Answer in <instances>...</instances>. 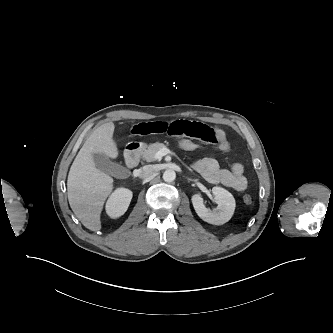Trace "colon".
Masks as SVG:
<instances>
[{
    "label": "colon",
    "mask_w": 333,
    "mask_h": 333,
    "mask_svg": "<svg viewBox=\"0 0 333 333\" xmlns=\"http://www.w3.org/2000/svg\"><path fill=\"white\" fill-rule=\"evenodd\" d=\"M175 146L185 152L198 151L204 148V142L190 138V137H179L174 139ZM243 200L246 204L252 203V197L248 194L243 196Z\"/></svg>",
    "instance_id": "1"
}]
</instances>
